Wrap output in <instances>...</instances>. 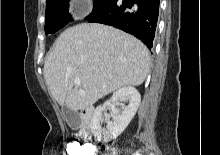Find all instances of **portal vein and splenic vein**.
<instances>
[{"label":"portal vein and splenic vein","instance_id":"portal-vein-and-splenic-vein-1","mask_svg":"<svg viewBox=\"0 0 220 155\" xmlns=\"http://www.w3.org/2000/svg\"><path fill=\"white\" fill-rule=\"evenodd\" d=\"M80 83H81V81H80L79 78H75V79H74V84H75V86L79 87V86H80ZM80 93H81L82 95H86L85 92H83V91H80Z\"/></svg>","mask_w":220,"mask_h":155}]
</instances>
